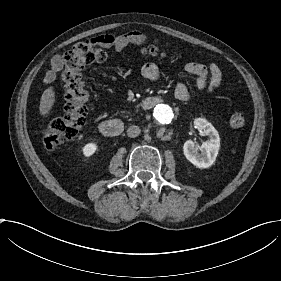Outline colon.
I'll return each instance as SVG.
<instances>
[{
    "label": "colon",
    "mask_w": 281,
    "mask_h": 281,
    "mask_svg": "<svg viewBox=\"0 0 281 281\" xmlns=\"http://www.w3.org/2000/svg\"><path fill=\"white\" fill-rule=\"evenodd\" d=\"M151 39L157 43L149 49L152 58L184 59L186 57L180 47ZM113 54H117L114 47H106L103 38H98L80 43L72 52L63 56L62 79L66 89L65 101L59 115L51 121L43 133L42 145L46 150L56 151L64 142L80 136L86 128L89 96L84 69L92 63L107 60ZM229 122L231 126L240 128L245 125L246 117L242 112H233Z\"/></svg>",
    "instance_id": "1"
}]
</instances>
